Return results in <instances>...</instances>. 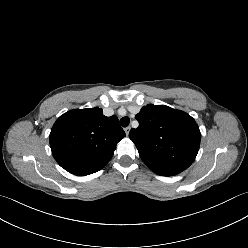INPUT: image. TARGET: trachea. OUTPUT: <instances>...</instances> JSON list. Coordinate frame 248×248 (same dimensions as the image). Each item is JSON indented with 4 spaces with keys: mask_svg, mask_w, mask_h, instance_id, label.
Wrapping results in <instances>:
<instances>
[{
    "mask_svg": "<svg viewBox=\"0 0 248 248\" xmlns=\"http://www.w3.org/2000/svg\"><path fill=\"white\" fill-rule=\"evenodd\" d=\"M130 123V118L128 116L122 117L120 119V124L122 127H127Z\"/></svg>",
    "mask_w": 248,
    "mask_h": 248,
    "instance_id": "obj_1",
    "label": "trachea"
}]
</instances>
